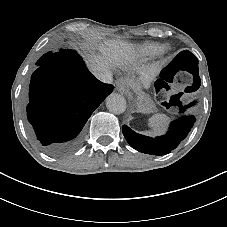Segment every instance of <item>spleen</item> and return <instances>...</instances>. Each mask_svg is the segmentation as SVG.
I'll list each match as a JSON object with an SVG mask.
<instances>
[{
  "instance_id": "obj_1",
  "label": "spleen",
  "mask_w": 227,
  "mask_h": 227,
  "mask_svg": "<svg viewBox=\"0 0 227 227\" xmlns=\"http://www.w3.org/2000/svg\"><path fill=\"white\" fill-rule=\"evenodd\" d=\"M150 122L152 124V130L157 131V130H162L163 129V124H162V114H156L150 118Z\"/></svg>"
}]
</instances>
